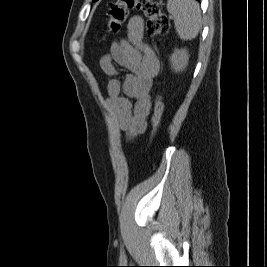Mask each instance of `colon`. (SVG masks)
Masks as SVG:
<instances>
[{
  "label": "colon",
  "instance_id": "colon-1",
  "mask_svg": "<svg viewBox=\"0 0 267 267\" xmlns=\"http://www.w3.org/2000/svg\"><path fill=\"white\" fill-rule=\"evenodd\" d=\"M132 10L140 11L146 17L147 32L150 36H163L170 28L168 16L162 11L161 3L154 0H115L109 4L107 31L118 33ZM163 115V102L157 97L152 115L151 140L157 134Z\"/></svg>",
  "mask_w": 267,
  "mask_h": 267
}]
</instances>
